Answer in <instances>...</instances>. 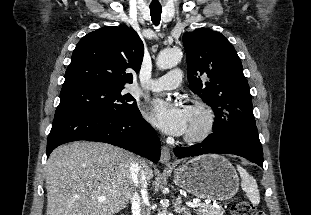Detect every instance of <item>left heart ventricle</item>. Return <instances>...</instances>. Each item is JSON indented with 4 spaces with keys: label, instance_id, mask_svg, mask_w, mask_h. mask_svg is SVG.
Here are the masks:
<instances>
[{
    "label": "left heart ventricle",
    "instance_id": "1",
    "mask_svg": "<svg viewBox=\"0 0 311 215\" xmlns=\"http://www.w3.org/2000/svg\"><path fill=\"white\" fill-rule=\"evenodd\" d=\"M188 112H189V123L186 133L195 132L201 128L202 118L198 113L192 112L190 110H188Z\"/></svg>",
    "mask_w": 311,
    "mask_h": 215
}]
</instances>
